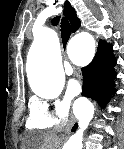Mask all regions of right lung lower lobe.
<instances>
[{"mask_svg":"<svg viewBox=\"0 0 124 149\" xmlns=\"http://www.w3.org/2000/svg\"><path fill=\"white\" fill-rule=\"evenodd\" d=\"M76 128H77V124H75V125L73 126L72 131H75Z\"/></svg>","mask_w":124,"mask_h":149,"instance_id":"1","label":"right lung lower lobe"}]
</instances>
